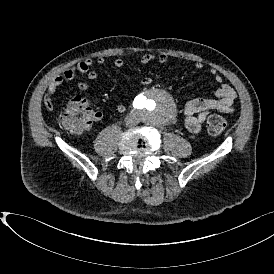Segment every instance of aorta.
Segmentation results:
<instances>
[{
    "label": "aorta",
    "mask_w": 274,
    "mask_h": 274,
    "mask_svg": "<svg viewBox=\"0 0 274 274\" xmlns=\"http://www.w3.org/2000/svg\"><path fill=\"white\" fill-rule=\"evenodd\" d=\"M140 101L141 109H144L143 105L148 104L147 109L143 110L144 121L148 124H165L176 116L177 109L173 97L163 89H148L144 95H141Z\"/></svg>",
    "instance_id": "762f6f07"
}]
</instances>
